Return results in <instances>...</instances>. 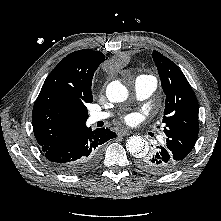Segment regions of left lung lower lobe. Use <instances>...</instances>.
<instances>
[{
	"instance_id": "left-lung-lower-lobe-1",
	"label": "left lung lower lobe",
	"mask_w": 221,
	"mask_h": 221,
	"mask_svg": "<svg viewBox=\"0 0 221 221\" xmlns=\"http://www.w3.org/2000/svg\"><path fill=\"white\" fill-rule=\"evenodd\" d=\"M181 164L166 144L155 145L149 154L137 160L139 169L156 175L171 173Z\"/></svg>"
}]
</instances>
